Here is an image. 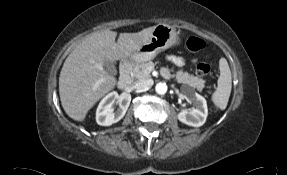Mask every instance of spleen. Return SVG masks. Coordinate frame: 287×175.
Instances as JSON below:
<instances>
[{
    "label": "spleen",
    "mask_w": 287,
    "mask_h": 175,
    "mask_svg": "<svg viewBox=\"0 0 287 175\" xmlns=\"http://www.w3.org/2000/svg\"><path fill=\"white\" fill-rule=\"evenodd\" d=\"M219 70L218 86L212 95V101L217 108L224 110L227 107L232 89L231 71L225 58L220 59Z\"/></svg>",
    "instance_id": "3e777b00"
}]
</instances>
